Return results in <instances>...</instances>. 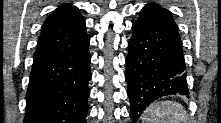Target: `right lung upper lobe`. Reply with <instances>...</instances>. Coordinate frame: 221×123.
I'll list each match as a JSON object with an SVG mask.
<instances>
[{
    "label": "right lung upper lobe",
    "mask_w": 221,
    "mask_h": 123,
    "mask_svg": "<svg viewBox=\"0 0 221 123\" xmlns=\"http://www.w3.org/2000/svg\"><path fill=\"white\" fill-rule=\"evenodd\" d=\"M85 31V19L79 9L75 6L63 5L44 22L38 46L59 44L67 39H74Z\"/></svg>",
    "instance_id": "obj_1"
}]
</instances>
